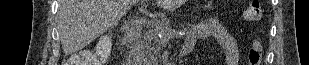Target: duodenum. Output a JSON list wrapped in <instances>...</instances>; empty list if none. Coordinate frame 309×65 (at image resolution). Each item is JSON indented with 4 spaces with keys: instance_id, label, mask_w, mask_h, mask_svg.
Segmentation results:
<instances>
[{
    "instance_id": "obj_1",
    "label": "duodenum",
    "mask_w": 309,
    "mask_h": 65,
    "mask_svg": "<svg viewBox=\"0 0 309 65\" xmlns=\"http://www.w3.org/2000/svg\"><path fill=\"white\" fill-rule=\"evenodd\" d=\"M145 24H146L145 19H137L129 23L123 32V36H122L123 42L124 43L131 42L136 36H138V34L144 28ZM190 52H191L190 49H185L182 52V56L187 55Z\"/></svg>"
}]
</instances>
